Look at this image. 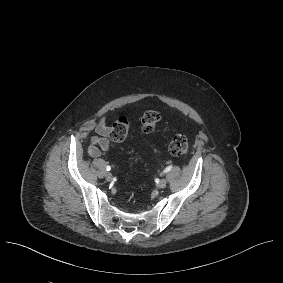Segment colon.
<instances>
[{
    "label": "colon",
    "mask_w": 283,
    "mask_h": 283,
    "mask_svg": "<svg viewBox=\"0 0 283 283\" xmlns=\"http://www.w3.org/2000/svg\"><path fill=\"white\" fill-rule=\"evenodd\" d=\"M160 121V115L157 111L148 110L141 118V130L144 133L152 132ZM129 133V122L125 117L118 118L111 127L110 139L113 144L123 142ZM169 152L176 157H182L187 154L189 144L185 136L175 135L168 146Z\"/></svg>",
    "instance_id": "obj_1"
}]
</instances>
